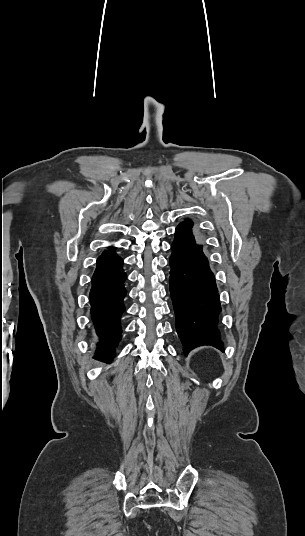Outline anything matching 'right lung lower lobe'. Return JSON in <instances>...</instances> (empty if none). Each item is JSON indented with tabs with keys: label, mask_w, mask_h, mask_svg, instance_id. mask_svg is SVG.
I'll return each instance as SVG.
<instances>
[{
	"label": "right lung lower lobe",
	"mask_w": 305,
	"mask_h": 536,
	"mask_svg": "<svg viewBox=\"0 0 305 536\" xmlns=\"http://www.w3.org/2000/svg\"><path fill=\"white\" fill-rule=\"evenodd\" d=\"M123 260L112 250L103 252L97 259L90 292L91 315L100 343L96 356L110 361L121 339L120 318L125 311Z\"/></svg>",
	"instance_id": "1"
}]
</instances>
